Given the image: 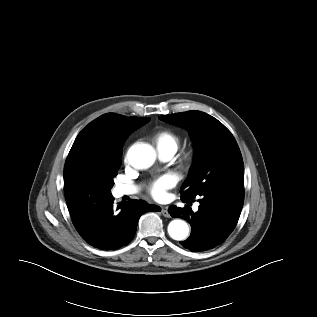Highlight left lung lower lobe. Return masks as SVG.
<instances>
[{
    "mask_svg": "<svg viewBox=\"0 0 317 317\" xmlns=\"http://www.w3.org/2000/svg\"><path fill=\"white\" fill-rule=\"evenodd\" d=\"M197 212L190 207L171 206L173 218L181 217L191 225V235L180 244L192 252L213 249L222 244L234 230L244 202V188L215 187L197 196ZM194 202V198H181Z\"/></svg>",
    "mask_w": 317,
    "mask_h": 317,
    "instance_id": "0a47b994",
    "label": "left lung lower lobe"
}]
</instances>
